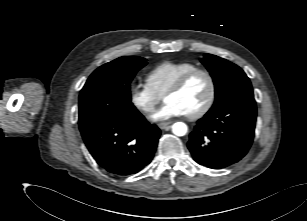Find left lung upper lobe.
I'll return each mask as SVG.
<instances>
[{
    "instance_id": "left-lung-upper-lobe-1",
    "label": "left lung upper lobe",
    "mask_w": 307,
    "mask_h": 221,
    "mask_svg": "<svg viewBox=\"0 0 307 221\" xmlns=\"http://www.w3.org/2000/svg\"><path fill=\"white\" fill-rule=\"evenodd\" d=\"M202 63L210 72L215 85L216 109L239 98H254L249 78L237 65L218 56L205 54Z\"/></svg>"
}]
</instances>
